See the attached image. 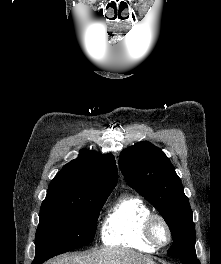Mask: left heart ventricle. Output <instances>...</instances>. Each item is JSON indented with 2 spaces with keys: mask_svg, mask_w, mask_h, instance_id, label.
<instances>
[{
  "mask_svg": "<svg viewBox=\"0 0 221 264\" xmlns=\"http://www.w3.org/2000/svg\"><path fill=\"white\" fill-rule=\"evenodd\" d=\"M155 233L159 241L164 242L166 240V232L160 224L156 225Z\"/></svg>",
  "mask_w": 221,
  "mask_h": 264,
  "instance_id": "b2bd125f",
  "label": "left heart ventricle"
}]
</instances>
